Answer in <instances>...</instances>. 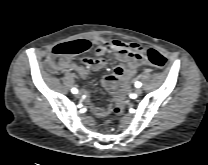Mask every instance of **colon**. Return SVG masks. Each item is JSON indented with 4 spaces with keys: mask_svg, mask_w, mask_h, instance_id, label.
Listing matches in <instances>:
<instances>
[{
    "mask_svg": "<svg viewBox=\"0 0 208 165\" xmlns=\"http://www.w3.org/2000/svg\"><path fill=\"white\" fill-rule=\"evenodd\" d=\"M90 49L89 42L85 40H75L58 44L53 48L51 54L46 60V67L49 72L56 73L60 69L63 61L70 57L82 54ZM141 58L157 68H164L167 64V59L156 49H142L140 52ZM117 101L114 106V113L120 115L124 109V101L120 93H116Z\"/></svg>",
    "mask_w": 208,
    "mask_h": 165,
    "instance_id": "colon-1",
    "label": "colon"
}]
</instances>
